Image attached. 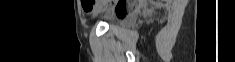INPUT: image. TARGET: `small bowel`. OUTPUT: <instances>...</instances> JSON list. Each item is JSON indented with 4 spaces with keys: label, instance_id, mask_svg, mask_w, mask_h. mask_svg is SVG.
Here are the masks:
<instances>
[{
    "label": "small bowel",
    "instance_id": "small-bowel-1",
    "mask_svg": "<svg viewBox=\"0 0 235 62\" xmlns=\"http://www.w3.org/2000/svg\"><path fill=\"white\" fill-rule=\"evenodd\" d=\"M118 7L128 8L129 5H127L126 3H120V4H118L117 7H116V14H117V8H118ZM84 8H85V11H86V12H89V11L91 10L90 7H88V6H85Z\"/></svg>",
    "mask_w": 235,
    "mask_h": 62
}]
</instances>
